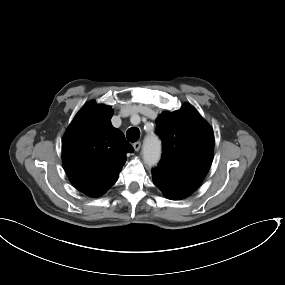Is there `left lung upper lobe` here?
<instances>
[{"mask_svg": "<svg viewBox=\"0 0 285 285\" xmlns=\"http://www.w3.org/2000/svg\"><path fill=\"white\" fill-rule=\"evenodd\" d=\"M156 133L162 139V158L157 170L176 179L200 184L214 152V133L190 104L156 119Z\"/></svg>", "mask_w": 285, "mask_h": 285, "instance_id": "5c2ea615", "label": "left lung upper lobe"}]
</instances>
